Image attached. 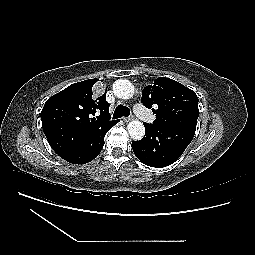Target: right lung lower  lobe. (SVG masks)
<instances>
[{
  "mask_svg": "<svg viewBox=\"0 0 255 255\" xmlns=\"http://www.w3.org/2000/svg\"><path fill=\"white\" fill-rule=\"evenodd\" d=\"M114 125L91 131L60 157L72 164H85L92 161L101 152L104 136Z\"/></svg>",
  "mask_w": 255,
  "mask_h": 255,
  "instance_id": "right-lung-lower-lobe-1",
  "label": "right lung lower lobe"
}]
</instances>
